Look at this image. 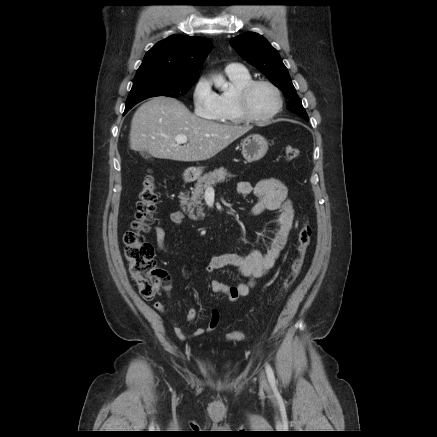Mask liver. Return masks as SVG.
<instances>
[{
    "mask_svg": "<svg viewBox=\"0 0 437 437\" xmlns=\"http://www.w3.org/2000/svg\"><path fill=\"white\" fill-rule=\"evenodd\" d=\"M251 126L220 124L192 114L180 101L154 97L142 104L131 121L130 148L149 152L156 158L184 162L212 158ZM185 135L183 146L174 139Z\"/></svg>",
    "mask_w": 437,
    "mask_h": 437,
    "instance_id": "liver-1",
    "label": "liver"
}]
</instances>
